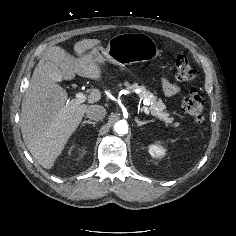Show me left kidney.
I'll list each match as a JSON object with an SVG mask.
<instances>
[{
	"instance_id": "1",
	"label": "left kidney",
	"mask_w": 236,
	"mask_h": 236,
	"mask_svg": "<svg viewBox=\"0 0 236 236\" xmlns=\"http://www.w3.org/2000/svg\"><path fill=\"white\" fill-rule=\"evenodd\" d=\"M149 153L154 158H162L166 153V149L161 145L152 144L149 146Z\"/></svg>"
}]
</instances>
